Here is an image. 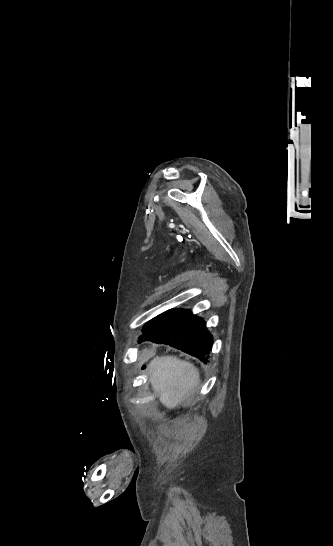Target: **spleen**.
Segmentation results:
<instances>
[{"label": "spleen", "mask_w": 333, "mask_h": 546, "mask_svg": "<svg viewBox=\"0 0 333 546\" xmlns=\"http://www.w3.org/2000/svg\"><path fill=\"white\" fill-rule=\"evenodd\" d=\"M149 381L167 408H175L195 396L200 385L198 369L173 356L156 357L149 366Z\"/></svg>", "instance_id": "1"}]
</instances>
